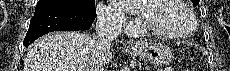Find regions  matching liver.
Masks as SVG:
<instances>
[{
  "mask_svg": "<svg viewBox=\"0 0 230 71\" xmlns=\"http://www.w3.org/2000/svg\"><path fill=\"white\" fill-rule=\"evenodd\" d=\"M91 36L79 32H53L37 39L25 58L24 71H89L94 62ZM104 64L112 59L104 52Z\"/></svg>",
  "mask_w": 230,
  "mask_h": 71,
  "instance_id": "obj_1",
  "label": "liver"
}]
</instances>
